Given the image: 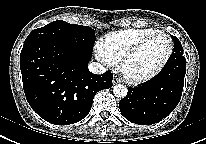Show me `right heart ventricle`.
Masks as SVG:
<instances>
[{"label":"right heart ventricle","mask_w":206,"mask_h":144,"mask_svg":"<svg viewBox=\"0 0 206 144\" xmlns=\"http://www.w3.org/2000/svg\"><path fill=\"white\" fill-rule=\"evenodd\" d=\"M157 31L154 28H129L106 35L101 45L111 60L116 63L140 39Z\"/></svg>","instance_id":"1"}]
</instances>
